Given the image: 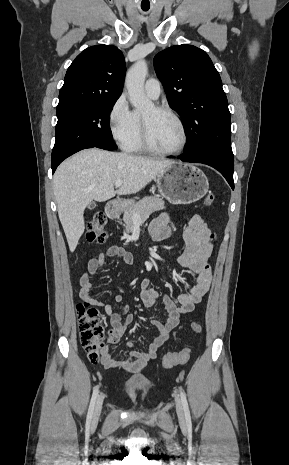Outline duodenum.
<instances>
[{
	"instance_id": "410a0bca",
	"label": "duodenum",
	"mask_w": 289,
	"mask_h": 465,
	"mask_svg": "<svg viewBox=\"0 0 289 465\" xmlns=\"http://www.w3.org/2000/svg\"><path fill=\"white\" fill-rule=\"evenodd\" d=\"M106 214L109 218L115 219L120 214V203L117 200H110L106 206Z\"/></svg>"
}]
</instances>
